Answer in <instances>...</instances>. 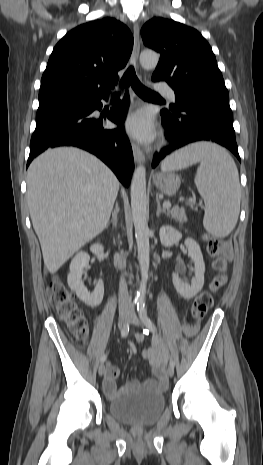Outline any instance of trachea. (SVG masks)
Masks as SVG:
<instances>
[{
  "instance_id": "obj_1",
  "label": "trachea",
  "mask_w": 263,
  "mask_h": 465,
  "mask_svg": "<svg viewBox=\"0 0 263 465\" xmlns=\"http://www.w3.org/2000/svg\"><path fill=\"white\" fill-rule=\"evenodd\" d=\"M121 84L123 86H129L133 88V90L143 98H154V97H160V95L154 91H151L150 89L146 88L142 83L139 81V79L136 76L135 70L133 66H130L125 74L122 77ZM114 96H119V93L116 92L114 93Z\"/></svg>"
}]
</instances>
